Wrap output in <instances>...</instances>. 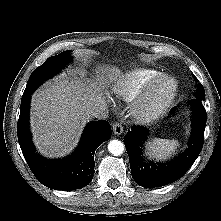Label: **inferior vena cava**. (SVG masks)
I'll return each instance as SVG.
<instances>
[{"instance_id": "602c4592", "label": "inferior vena cava", "mask_w": 221, "mask_h": 221, "mask_svg": "<svg viewBox=\"0 0 221 221\" xmlns=\"http://www.w3.org/2000/svg\"><path fill=\"white\" fill-rule=\"evenodd\" d=\"M90 115L97 119H106L108 118V108L106 104H97L94 105L90 111Z\"/></svg>"}]
</instances>
